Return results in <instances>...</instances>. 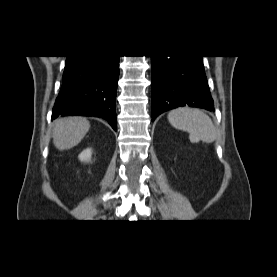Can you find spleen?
<instances>
[{
  "mask_svg": "<svg viewBox=\"0 0 277 277\" xmlns=\"http://www.w3.org/2000/svg\"><path fill=\"white\" fill-rule=\"evenodd\" d=\"M167 118L173 127L187 131L193 142L202 140L211 143L216 139V129L211 118L201 110L178 108L169 112Z\"/></svg>",
  "mask_w": 277,
  "mask_h": 277,
  "instance_id": "1",
  "label": "spleen"
}]
</instances>
